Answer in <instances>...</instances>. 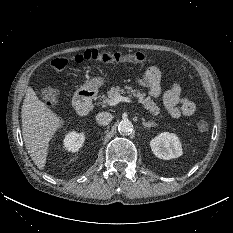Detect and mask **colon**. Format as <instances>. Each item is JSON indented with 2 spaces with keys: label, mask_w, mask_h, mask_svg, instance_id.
<instances>
[{
  "label": "colon",
  "mask_w": 233,
  "mask_h": 233,
  "mask_svg": "<svg viewBox=\"0 0 233 233\" xmlns=\"http://www.w3.org/2000/svg\"><path fill=\"white\" fill-rule=\"evenodd\" d=\"M146 60V55L143 52H135L132 54H121L118 52H101L98 50H86L83 53L76 54L72 57H58L51 61L52 68L56 70L64 69L69 63H82L84 61H94L99 63H121L130 62L138 63ZM59 96V90L56 86H46L42 92L41 97L44 103L48 106L54 105ZM207 121L201 119L197 123V129L200 133L208 132Z\"/></svg>",
  "instance_id": "obj_1"
}]
</instances>
